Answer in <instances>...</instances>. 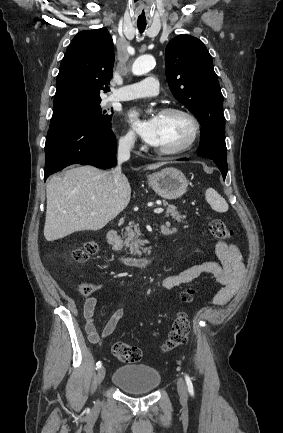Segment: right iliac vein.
<instances>
[{
    "instance_id": "obj_1",
    "label": "right iliac vein",
    "mask_w": 283,
    "mask_h": 433,
    "mask_svg": "<svg viewBox=\"0 0 283 433\" xmlns=\"http://www.w3.org/2000/svg\"><path fill=\"white\" fill-rule=\"evenodd\" d=\"M105 374H106L105 367H103V366L100 367L98 372H97V381L99 384H101V382L104 380Z\"/></svg>"
}]
</instances>
